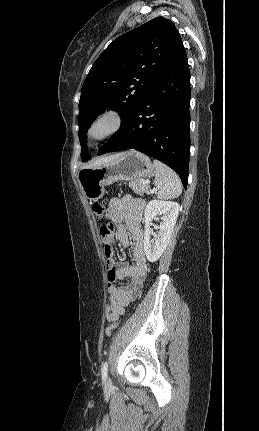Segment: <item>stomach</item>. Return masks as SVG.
Segmentation results:
<instances>
[{
    "mask_svg": "<svg viewBox=\"0 0 259 431\" xmlns=\"http://www.w3.org/2000/svg\"><path fill=\"white\" fill-rule=\"evenodd\" d=\"M154 166L148 156L130 150L103 164L82 168L78 173L81 189L90 201L103 197L105 186L116 181H133L151 177Z\"/></svg>",
    "mask_w": 259,
    "mask_h": 431,
    "instance_id": "obj_1",
    "label": "stomach"
}]
</instances>
